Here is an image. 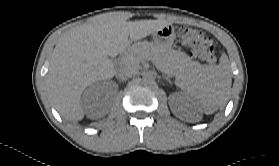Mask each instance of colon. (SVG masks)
Wrapping results in <instances>:
<instances>
[{
    "mask_svg": "<svg viewBox=\"0 0 279 166\" xmlns=\"http://www.w3.org/2000/svg\"><path fill=\"white\" fill-rule=\"evenodd\" d=\"M178 36L181 43L191 50L192 55L201 61L215 63L216 56L214 46L210 39L196 28L180 27Z\"/></svg>",
    "mask_w": 279,
    "mask_h": 166,
    "instance_id": "1",
    "label": "colon"
}]
</instances>
